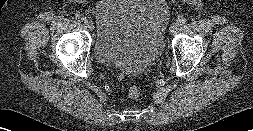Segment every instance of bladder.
<instances>
[{
	"instance_id": "1",
	"label": "bladder",
	"mask_w": 253,
	"mask_h": 131,
	"mask_svg": "<svg viewBox=\"0 0 253 131\" xmlns=\"http://www.w3.org/2000/svg\"><path fill=\"white\" fill-rule=\"evenodd\" d=\"M94 19L101 64L136 73L161 55L168 20L163 0H101Z\"/></svg>"
}]
</instances>
